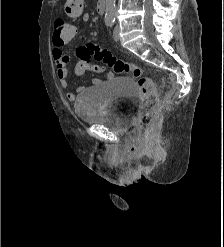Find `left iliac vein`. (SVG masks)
<instances>
[{
	"label": "left iliac vein",
	"mask_w": 224,
	"mask_h": 247,
	"mask_svg": "<svg viewBox=\"0 0 224 247\" xmlns=\"http://www.w3.org/2000/svg\"><path fill=\"white\" fill-rule=\"evenodd\" d=\"M113 38L115 41H118L119 40V27L118 26H115L114 28V31H113Z\"/></svg>",
	"instance_id": "1"
}]
</instances>
